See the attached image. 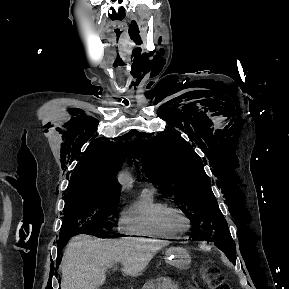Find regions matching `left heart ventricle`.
<instances>
[{
    "label": "left heart ventricle",
    "instance_id": "obj_1",
    "mask_svg": "<svg viewBox=\"0 0 289 289\" xmlns=\"http://www.w3.org/2000/svg\"><path fill=\"white\" fill-rule=\"evenodd\" d=\"M169 224L174 230H183L186 228V221L177 214L169 216Z\"/></svg>",
    "mask_w": 289,
    "mask_h": 289
}]
</instances>
